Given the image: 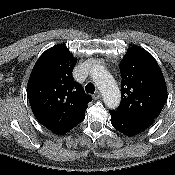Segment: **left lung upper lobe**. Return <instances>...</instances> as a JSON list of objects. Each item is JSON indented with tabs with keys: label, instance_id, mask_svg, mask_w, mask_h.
I'll use <instances>...</instances> for the list:
<instances>
[{
	"label": "left lung upper lobe",
	"instance_id": "obj_1",
	"mask_svg": "<svg viewBox=\"0 0 175 175\" xmlns=\"http://www.w3.org/2000/svg\"><path fill=\"white\" fill-rule=\"evenodd\" d=\"M121 103L112 110L126 117L156 118L167 100V87L154 57L141 47H131L120 63Z\"/></svg>",
	"mask_w": 175,
	"mask_h": 175
}]
</instances>
